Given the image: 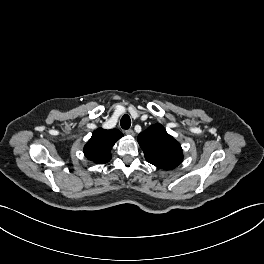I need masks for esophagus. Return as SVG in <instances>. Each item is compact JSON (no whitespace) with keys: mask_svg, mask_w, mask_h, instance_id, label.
Instances as JSON below:
<instances>
[{"mask_svg":"<svg viewBox=\"0 0 264 264\" xmlns=\"http://www.w3.org/2000/svg\"><path fill=\"white\" fill-rule=\"evenodd\" d=\"M125 133L129 136H134V131L132 129L126 130Z\"/></svg>","mask_w":264,"mask_h":264,"instance_id":"esophagus-1","label":"esophagus"}]
</instances>
